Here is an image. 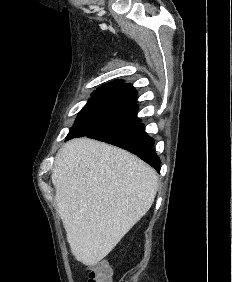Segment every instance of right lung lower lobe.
Segmentation results:
<instances>
[{
  "mask_svg": "<svg viewBox=\"0 0 232 282\" xmlns=\"http://www.w3.org/2000/svg\"><path fill=\"white\" fill-rule=\"evenodd\" d=\"M88 138L123 148L137 155L157 172L160 171V158L153 149L154 140L146 134L144 124L141 121L121 129L92 134Z\"/></svg>",
  "mask_w": 232,
  "mask_h": 282,
  "instance_id": "1",
  "label": "right lung lower lobe"
}]
</instances>
